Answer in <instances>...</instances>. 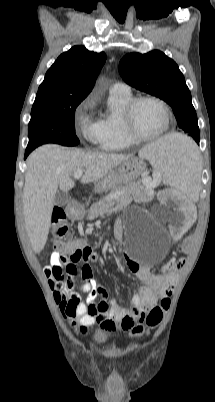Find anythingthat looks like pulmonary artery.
<instances>
[{
  "label": "pulmonary artery",
  "instance_id": "e3ab8cb5",
  "mask_svg": "<svg viewBox=\"0 0 215 402\" xmlns=\"http://www.w3.org/2000/svg\"><path fill=\"white\" fill-rule=\"evenodd\" d=\"M110 92L127 93L130 92V88L123 82H116L111 86Z\"/></svg>",
  "mask_w": 215,
  "mask_h": 402
}]
</instances>
